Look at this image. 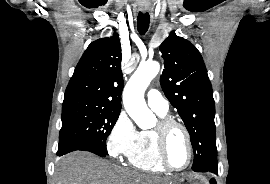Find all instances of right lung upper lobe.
Returning <instances> with one entry per match:
<instances>
[{"instance_id":"cb5924a9","label":"right lung upper lobe","mask_w":270,"mask_h":184,"mask_svg":"<svg viewBox=\"0 0 270 184\" xmlns=\"http://www.w3.org/2000/svg\"><path fill=\"white\" fill-rule=\"evenodd\" d=\"M118 34L92 42L66 88L64 100H84L121 110L123 75Z\"/></svg>"}]
</instances>
